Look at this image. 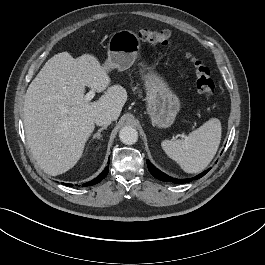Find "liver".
I'll return each mask as SVG.
<instances>
[{
	"label": "liver",
	"mask_w": 265,
	"mask_h": 265,
	"mask_svg": "<svg viewBox=\"0 0 265 265\" xmlns=\"http://www.w3.org/2000/svg\"><path fill=\"white\" fill-rule=\"evenodd\" d=\"M108 71L91 54L51 57L29 85L24 100L27 143L39 166L49 175L65 173L81 158L94 131L95 116L108 112L118 119L126 90L109 86ZM106 90L97 101L84 100L85 87Z\"/></svg>",
	"instance_id": "6515ba94"
}]
</instances>
